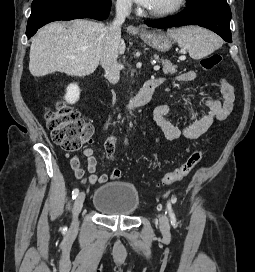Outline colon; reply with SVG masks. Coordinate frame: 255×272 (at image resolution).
Instances as JSON below:
<instances>
[{
	"mask_svg": "<svg viewBox=\"0 0 255 272\" xmlns=\"http://www.w3.org/2000/svg\"><path fill=\"white\" fill-rule=\"evenodd\" d=\"M221 60L222 56L219 53L210 54L202 58L201 67L205 71L213 70ZM45 120L52 140L66 151H77L92 142V126L80 118L76 109L65 103L48 108ZM205 148L206 144L195 149L182 165L161 178V184L169 185L188 176L202 160ZM120 176L121 171L114 168L111 177L118 179Z\"/></svg>",
	"mask_w": 255,
	"mask_h": 272,
	"instance_id": "colon-1",
	"label": "colon"
}]
</instances>
